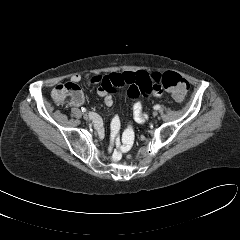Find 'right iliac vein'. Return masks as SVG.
Returning <instances> with one entry per match:
<instances>
[{
	"mask_svg": "<svg viewBox=\"0 0 240 240\" xmlns=\"http://www.w3.org/2000/svg\"><path fill=\"white\" fill-rule=\"evenodd\" d=\"M83 117H84L85 120H88V119H89V115H88L87 113H84V114H83Z\"/></svg>",
	"mask_w": 240,
	"mask_h": 240,
	"instance_id": "obj_1",
	"label": "right iliac vein"
}]
</instances>
